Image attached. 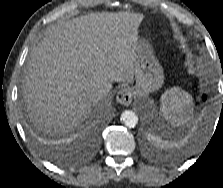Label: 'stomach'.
Listing matches in <instances>:
<instances>
[{
	"label": "stomach",
	"instance_id": "1",
	"mask_svg": "<svg viewBox=\"0 0 223 188\" xmlns=\"http://www.w3.org/2000/svg\"><path fill=\"white\" fill-rule=\"evenodd\" d=\"M134 72L136 85L133 93L136 97L147 95L159 89L163 84V69L154 56L151 45L144 38L137 42Z\"/></svg>",
	"mask_w": 223,
	"mask_h": 188
}]
</instances>
